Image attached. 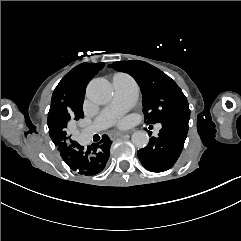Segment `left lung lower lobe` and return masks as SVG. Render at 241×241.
I'll use <instances>...</instances> for the list:
<instances>
[{"label": "left lung lower lobe", "mask_w": 241, "mask_h": 241, "mask_svg": "<svg viewBox=\"0 0 241 241\" xmlns=\"http://www.w3.org/2000/svg\"><path fill=\"white\" fill-rule=\"evenodd\" d=\"M189 118L162 122L158 137H152L145 148L138 150V158L147 170L163 172L175 164L184 146Z\"/></svg>", "instance_id": "left-lung-lower-lobe-1"}]
</instances>
